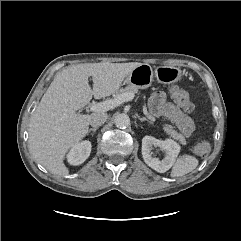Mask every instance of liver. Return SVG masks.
Listing matches in <instances>:
<instances>
[{
    "label": "liver",
    "instance_id": "obj_1",
    "mask_svg": "<svg viewBox=\"0 0 241 241\" xmlns=\"http://www.w3.org/2000/svg\"><path fill=\"white\" fill-rule=\"evenodd\" d=\"M129 63H85L63 69L43 95L29 124V149L48 171L66 176V153L87 134L90 115L76 113L92 96L108 97L118 91L125 78L141 65ZM92 77L93 89L88 78Z\"/></svg>",
    "mask_w": 241,
    "mask_h": 241
}]
</instances>
